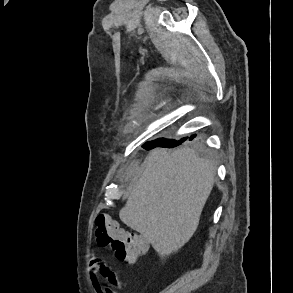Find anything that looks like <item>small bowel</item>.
Here are the masks:
<instances>
[{
  "mask_svg": "<svg viewBox=\"0 0 293 293\" xmlns=\"http://www.w3.org/2000/svg\"><path fill=\"white\" fill-rule=\"evenodd\" d=\"M90 280L96 293H118L120 288L115 271L96 257L90 261ZM101 280H105L106 285H102Z\"/></svg>",
  "mask_w": 293,
  "mask_h": 293,
  "instance_id": "c3829d8e",
  "label": "small bowel"
}]
</instances>
